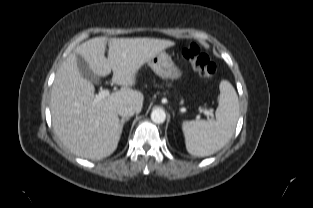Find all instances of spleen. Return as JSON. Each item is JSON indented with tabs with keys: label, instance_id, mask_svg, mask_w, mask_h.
<instances>
[{
	"label": "spleen",
	"instance_id": "spleen-1",
	"mask_svg": "<svg viewBox=\"0 0 313 208\" xmlns=\"http://www.w3.org/2000/svg\"><path fill=\"white\" fill-rule=\"evenodd\" d=\"M219 105L215 120L184 121L182 130L188 153L208 156L223 148L232 138L239 117V100L231 83L222 80L219 85Z\"/></svg>",
	"mask_w": 313,
	"mask_h": 208
}]
</instances>
